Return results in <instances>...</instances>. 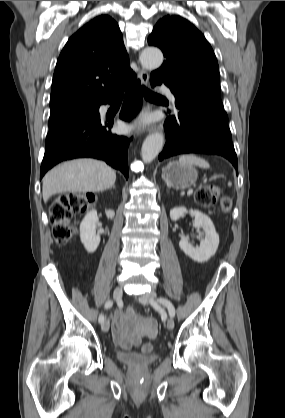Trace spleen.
<instances>
[{"label":"spleen","instance_id":"obj_1","mask_svg":"<svg viewBox=\"0 0 285 418\" xmlns=\"http://www.w3.org/2000/svg\"><path fill=\"white\" fill-rule=\"evenodd\" d=\"M179 164L186 166H198L200 168L208 169L210 164L203 158L194 154H186L179 157Z\"/></svg>","mask_w":285,"mask_h":418}]
</instances>
